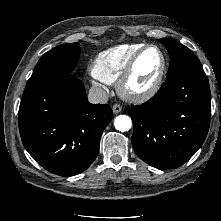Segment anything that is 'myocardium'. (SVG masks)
Masks as SVG:
<instances>
[{"mask_svg":"<svg viewBox=\"0 0 221 221\" xmlns=\"http://www.w3.org/2000/svg\"><path fill=\"white\" fill-rule=\"evenodd\" d=\"M150 48H154L160 53V56H161L160 69L157 72L156 77L154 78L153 82L146 89L139 90V91L132 90L129 88V82L134 73L135 67L140 57L143 55V53ZM166 66H167L166 55L164 51L161 49V47L155 44L144 45L133 54L128 64L126 65L124 71L118 78L117 84H116L118 94L123 99L130 101V102H134V103H142L151 99L161 88L164 75L166 72Z\"/></svg>","mask_w":221,"mask_h":221,"instance_id":"obj_1","label":"myocardium"}]
</instances>
